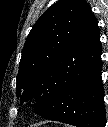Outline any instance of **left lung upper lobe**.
<instances>
[{"label": "left lung upper lobe", "instance_id": "left-lung-upper-lobe-1", "mask_svg": "<svg viewBox=\"0 0 108 127\" xmlns=\"http://www.w3.org/2000/svg\"><path fill=\"white\" fill-rule=\"evenodd\" d=\"M89 5L84 0H60L34 24L22 50L16 92L41 115L56 94L65 67L64 57L83 24Z\"/></svg>", "mask_w": 108, "mask_h": 127}]
</instances>
